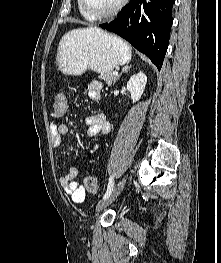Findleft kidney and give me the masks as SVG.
<instances>
[{
	"label": "left kidney",
	"instance_id": "1",
	"mask_svg": "<svg viewBox=\"0 0 221 263\" xmlns=\"http://www.w3.org/2000/svg\"><path fill=\"white\" fill-rule=\"evenodd\" d=\"M147 77L144 73L139 72L133 75L127 83V90L131 94V99L134 102L138 101L145 89Z\"/></svg>",
	"mask_w": 221,
	"mask_h": 263
}]
</instances>
